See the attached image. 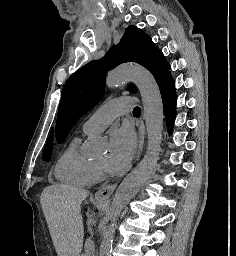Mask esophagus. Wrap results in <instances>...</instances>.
<instances>
[{
    "mask_svg": "<svg viewBox=\"0 0 236 256\" xmlns=\"http://www.w3.org/2000/svg\"><path fill=\"white\" fill-rule=\"evenodd\" d=\"M138 127V152L136 155L135 161H137L140 158L142 149H143V144L145 140V125L143 118H140V120L137 123ZM116 188V185H111L108 184L106 186H102L98 191L95 193V198L98 200H108L110 196L114 193Z\"/></svg>",
    "mask_w": 236,
    "mask_h": 256,
    "instance_id": "1",
    "label": "esophagus"
}]
</instances>
